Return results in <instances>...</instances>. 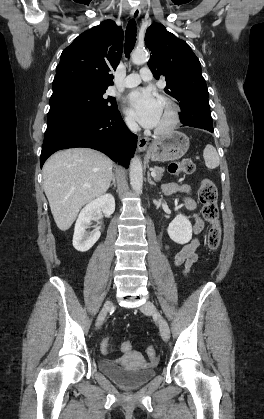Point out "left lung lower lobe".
<instances>
[{"label": "left lung lower lobe", "instance_id": "obj_1", "mask_svg": "<svg viewBox=\"0 0 264 419\" xmlns=\"http://www.w3.org/2000/svg\"><path fill=\"white\" fill-rule=\"evenodd\" d=\"M180 117L183 126L201 128L214 132L208 100H202L195 105L183 107Z\"/></svg>", "mask_w": 264, "mask_h": 419}]
</instances>
